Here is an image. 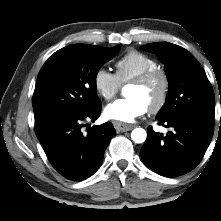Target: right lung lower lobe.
<instances>
[{
	"instance_id": "right-lung-lower-lobe-1",
	"label": "right lung lower lobe",
	"mask_w": 221,
	"mask_h": 221,
	"mask_svg": "<svg viewBox=\"0 0 221 221\" xmlns=\"http://www.w3.org/2000/svg\"><path fill=\"white\" fill-rule=\"evenodd\" d=\"M101 104L84 114L65 116L37 137L53 168L71 181L84 180L97 172L104 152L116 131L110 122L93 126L83 134L84 121L94 122Z\"/></svg>"
}]
</instances>
